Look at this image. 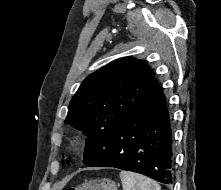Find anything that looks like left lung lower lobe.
<instances>
[{"instance_id": "1", "label": "left lung lower lobe", "mask_w": 221, "mask_h": 190, "mask_svg": "<svg viewBox=\"0 0 221 190\" xmlns=\"http://www.w3.org/2000/svg\"><path fill=\"white\" fill-rule=\"evenodd\" d=\"M172 130L163 89L156 90L110 136L103 152L88 166L115 167L172 183Z\"/></svg>"}]
</instances>
